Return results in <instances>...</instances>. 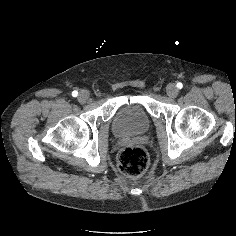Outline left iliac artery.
Returning a JSON list of instances; mask_svg holds the SVG:
<instances>
[{
  "label": "left iliac artery",
  "mask_w": 236,
  "mask_h": 236,
  "mask_svg": "<svg viewBox=\"0 0 236 236\" xmlns=\"http://www.w3.org/2000/svg\"><path fill=\"white\" fill-rule=\"evenodd\" d=\"M176 86H177L178 89H182L183 84L181 82H178Z\"/></svg>",
  "instance_id": "44dca946"
}]
</instances>
